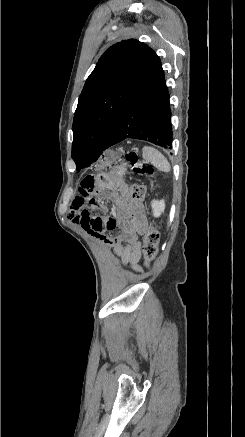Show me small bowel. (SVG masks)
Segmentation results:
<instances>
[{
  "instance_id": "small-bowel-1",
  "label": "small bowel",
  "mask_w": 245,
  "mask_h": 437,
  "mask_svg": "<svg viewBox=\"0 0 245 437\" xmlns=\"http://www.w3.org/2000/svg\"><path fill=\"white\" fill-rule=\"evenodd\" d=\"M115 157V150H102L101 157L96 163L97 166H92L91 171H87L86 177L82 179L79 186L80 195L73 199L69 215L72 221L88 234L112 247L114 253L125 265L136 270L141 258L139 237L146 230L147 220L144 207L141 204L132 203L129 188L120 182L116 184L119 189V197L115 200L116 219L110 217L101 219L88 214L90 207L97 209L103 204L100 197L91 196V194L97 189L95 180H98L99 175H104L105 171L109 170ZM87 197H90V206L86 203ZM107 197L112 198L109 195ZM118 224L121 225V228L112 236L102 234L104 227L109 231H115Z\"/></svg>"
}]
</instances>
